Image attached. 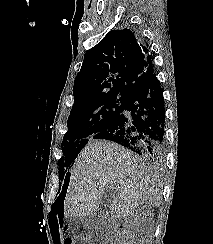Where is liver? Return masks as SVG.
Instances as JSON below:
<instances>
[{"instance_id": "obj_1", "label": "liver", "mask_w": 213, "mask_h": 244, "mask_svg": "<svg viewBox=\"0 0 213 244\" xmlns=\"http://www.w3.org/2000/svg\"><path fill=\"white\" fill-rule=\"evenodd\" d=\"M111 190L113 220L129 216L138 206L162 201V184L146 160L109 141H91L72 167L64 200V217L83 218L99 210Z\"/></svg>"}]
</instances>
